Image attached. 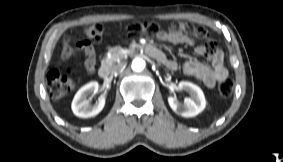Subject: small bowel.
<instances>
[{
  "mask_svg": "<svg viewBox=\"0 0 283 162\" xmlns=\"http://www.w3.org/2000/svg\"><path fill=\"white\" fill-rule=\"evenodd\" d=\"M207 36L208 32L205 28H194L185 23H173L168 30L162 31L158 38L175 45L192 46L196 55L209 57L211 65L198 60H190L184 64L183 71L186 75L200 80L206 87L212 88L218 82L227 79L228 71L224 64L223 52L218 50L217 43L214 40L209 39L206 46L197 43V38H206ZM77 48L85 55L84 67L89 73H93L96 68L93 46L87 41H80ZM160 61L171 70L177 69L176 61L167 58L165 55L164 59Z\"/></svg>",
  "mask_w": 283,
  "mask_h": 162,
  "instance_id": "small-bowel-1",
  "label": "small bowel"
}]
</instances>
